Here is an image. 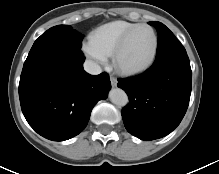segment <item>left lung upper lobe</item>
Segmentation results:
<instances>
[{
  "mask_svg": "<svg viewBox=\"0 0 219 174\" xmlns=\"http://www.w3.org/2000/svg\"><path fill=\"white\" fill-rule=\"evenodd\" d=\"M154 26L158 33V45L156 58L172 52H186L185 48L174 36L170 29L160 22H149Z\"/></svg>",
  "mask_w": 219,
  "mask_h": 174,
  "instance_id": "5c2ea615",
  "label": "left lung upper lobe"
}]
</instances>
